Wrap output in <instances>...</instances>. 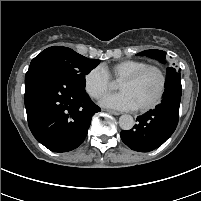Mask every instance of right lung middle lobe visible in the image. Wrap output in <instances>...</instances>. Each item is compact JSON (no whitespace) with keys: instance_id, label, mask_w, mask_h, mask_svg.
I'll return each instance as SVG.
<instances>
[{"instance_id":"right-lung-middle-lobe-1","label":"right lung middle lobe","mask_w":201,"mask_h":201,"mask_svg":"<svg viewBox=\"0 0 201 201\" xmlns=\"http://www.w3.org/2000/svg\"><path fill=\"white\" fill-rule=\"evenodd\" d=\"M99 62L97 59H88L70 48L53 46L36 56L31 61L29 68L47 65L69 74L81 88H85V75L95 68Z\"/></svg>"}]
</instances>
